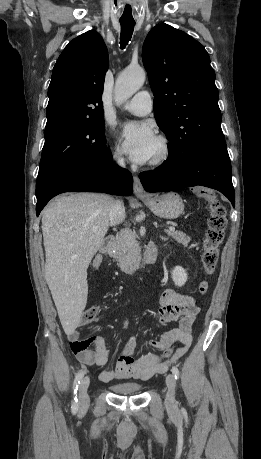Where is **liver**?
I'll list each match as a JSON object with an SVG mask.
<instances>
[{
  "mask_svg": "<svg viewBox=\"0 0 261 459\" xmlns=\"http://www.w3.org/2000/svg\"><path fill=\"white\" fill-rule=\"evenodd\" d=\"M113 200L105 194H68L43 211L45 279L67 335L80 324L87 303V269L109 229Z\"/></svg>",
  "mask_w": 261,
  "mask_h": 459,
  "instance_id": "1",
  "label": "liver"
}]
</instances>
